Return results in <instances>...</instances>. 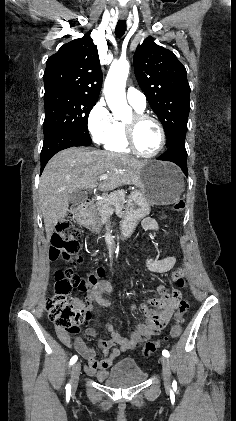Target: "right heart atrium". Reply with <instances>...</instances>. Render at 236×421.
I'll return each instance as SVG.
<instances>
[{
	"label": "right heart atrium",
	"mask_w": 236,
	"mask_h": 421,
	"mask_svg": "<svg viewBox=\"0 0 236 421\" xmlns=\"http://www.w3.org/2000/svg\"><path fill=\"white\" fill-rule=\"evenodd\" d=\"M87 125L90 136L96 144H104L112 134L116 119L103 100L98 101L91 109Z\"/></svg>",
	"instance_id": "right-heart-atrium-1"
}]
</instances>
